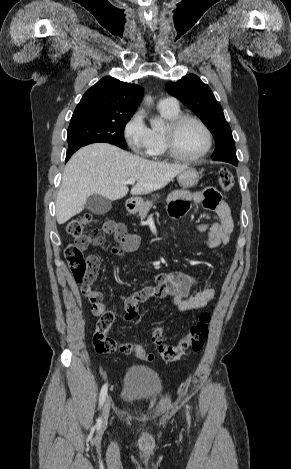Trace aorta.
<instances>
[{
    "label": "aorta",
    "mask_w": 291,
    "mask_h": 469,
    "mask_svg": "<svg viewBox=\"0 0 291 469\" xmlns=\"http://www.w3.org/2000/svg\"><path fill=\"white\" fill-rule=\"evenodd\" d=\"M146 100L147 101H150L151 100V97L150 96H147L146 97ZM163 124L162 120H154V121H151V126L152 127H159Z\"/></svg>",
    "instance_id": "1"
}]
</instances>
